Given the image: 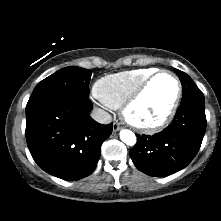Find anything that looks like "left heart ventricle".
Listing matches in <instances>:
<instances>
[{
	"mask_svg": "<svg viewBox=\"0 0 221 221\" xmlns=\"http://www.w3.org/2000/svg\"><path fill=\"white\" fill-rule=\"evenodd\" d=\"M176 94V83L162 74L152 81L139 101L131 108L130 117L138 123L159 121L169 110Z\"/></svg>",
	"mask_w": 221,
	"mask_h": 221,
	"instance_id": "left-heart-ventricle-1",
	"label": "left heart ventricle"
}]
</instances>
